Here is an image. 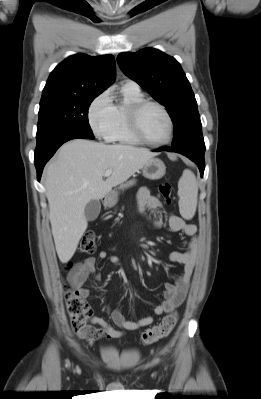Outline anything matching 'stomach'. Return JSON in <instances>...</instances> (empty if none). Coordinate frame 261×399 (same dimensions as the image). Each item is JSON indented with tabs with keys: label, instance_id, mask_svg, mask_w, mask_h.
<instances>
[{
	"label": "stomach",
	"instance_id": "0dacf381",
	"mask_svg": "<svg viewBox=\"0 0 261 399\" xmlns=\"http://www.w3.org/2000/svg\"><path fill=\"white\" fill-rule=\"evenodd\" d=\"M142 173L143 176L147 179L157 180L165 175L166 166L162 160L153 157L142 167ZM117 202H118V193L116 191H112L105 198L104 205L111 208L115 206Z\"/></svg>",
	"mask_w": 261,
	"mask_h": 399
}]
</instances>
